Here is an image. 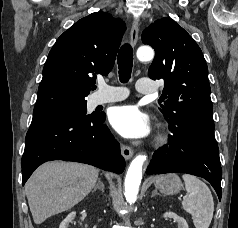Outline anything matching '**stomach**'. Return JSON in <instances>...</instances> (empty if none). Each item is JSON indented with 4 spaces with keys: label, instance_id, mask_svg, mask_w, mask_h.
<instances>
[{
    "label": "stomach",
    "instance_id": "obj_1",
    "mask_svg": "<svg viewBox=\"0 0 238 228\" xmlns=\"http://www.w3.org/2000/svg\"><path fill=\"white\" fill-rule=\"evenodd\" d=\"M154 185L157 189H159L163 194L166 195L176 194L183 187L180 178L174 173L156 176L154 178Z\"/></svg>",
    "mask_w": 238,
    "mask_h": 228
}]
</instances>
